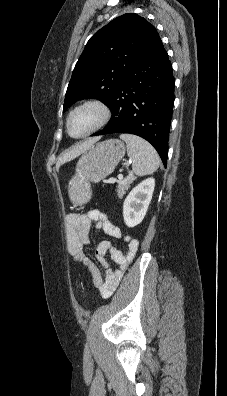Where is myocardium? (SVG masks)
Masks as SVG:
<instances>
[{"label":"myocardium","mask_w":227,"mask_h":396,"mask_svg":"<svg viewBox=\"0 0 227 396\" xmlns=\"http://www.w3.org/2000/svg\"><path fill=\"white\" fill-rule=\"evenodd\" d=\"M85 109H94L98 112V119L95 122V124L84 134L80 135V136H73L70 132V128H69V123H70V119L71 117L81 111V110H85ZM112 117V111L109 107V105L103 101L102 99L99 98H88L85 99L79 103H77L75 106H73L66 117L65 120V126H66V131L68 133V135L71 138L74 139H82V138H86L89 135L95 133L96 131L100 130L101 128H103L111 119Z\"/></svg>","instance_id":"obj_1"}]
</instances>
